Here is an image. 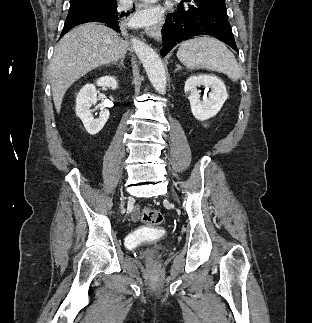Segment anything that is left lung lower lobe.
I'll return each mask as SVG.
<instances>
[{"label":"left lung lower lobe","mask_w":312,"mask_h":323,"mask_svg":"<svg viewBox=\"0 0 312 323\" xmlns=\"http://www.w3.org/2000/svg\"><path fill=\"white\" fill-rule=\"evenodd\" d=\"M161 32L163 56L177 43L200 35L216 37L238 52L225 0H183L175 13L167 17Z\"/></svg>","instance_id":"0a47b994"}]
</instances>
